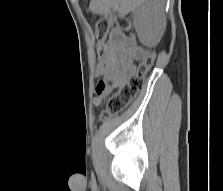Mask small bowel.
I'll list each match as a JSON object with an SVG mask.
<instances>
[{"label":"small bowel","mask_w":223,"mask_h":191,"mask_svg":"<svg viewBox=\"0 0 223 191\" xmlns=\"http://www.w3.org/2000/svg\"><path fill=\"white\" fill-rule=\"evenodd\" d=\"M147 52L138 46L132 38L118 29H112L106 43V54L111 69L102 76L96 86L94 103L100 105L113 90L122 87L135 72L136 62L143 59Z\"/></svg>","instance_id":"c3829d8e"}]
</instances>
